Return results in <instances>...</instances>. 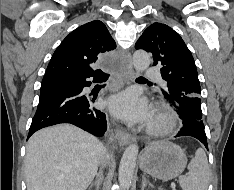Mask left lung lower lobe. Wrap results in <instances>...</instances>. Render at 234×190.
<instances>
[{
	"label": "left lung lower lobe",
	"instance_id": "1",
	"mask_svg": "<svg viewBox=\"0 0 234 190\" xmlns=\"http://www.w3.org/2000/svg\"><path fill=\"white\" fill-rule=\"evenodd\" d=\"M177 113L179 114L180 118L183 120V126L181 130L175 137L179 136H191L199 141H201L205 147L208 149L207 138L204 131V124L203 121H199L192 117L186 116L184 113L180 111V109L175 108Z\"/></svg>",
	"mask_w": 234,
	"mask_h": 190
}]
</instances>
